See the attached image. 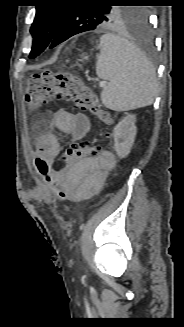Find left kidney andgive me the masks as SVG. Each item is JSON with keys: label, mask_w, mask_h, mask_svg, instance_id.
<instances>
[{"label": "left kidney", "mask_w": 184, "mask_h": 327, "mask_svg": "<svg viewBox=\"0 0 184 327\" xmlns=\"http://www.w3.org/2000/svg\"><path fill=\"white\" fill-rule=\"evenodd\" d=\"M135 121V115L128 114L114 127V149L120 158H125L131 151L137 133Z\"/></svg>", "instance_id": "1"}]
</instances>
